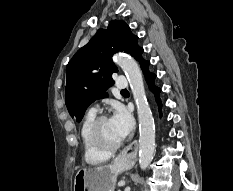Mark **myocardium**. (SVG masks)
<instances>
[{"label":"myocardium","mask_w":233,"mask_h":191,"mask_svg":"<svg viewBox=\"0 0 233 191\" xmlns=\"http://www.w3.org/2000/svg\"><path fill=\"white\" fill-rule=\"evenodd\" d=\"M107 119L108 117L106 115L95 117L90 125L88 137L90 144L95 150L105 154H112L122 146V141L114 145H108L102 140L100 135V126L102 122Z\"/></svg>","instance_id":"obj_1"}]
</instances>
